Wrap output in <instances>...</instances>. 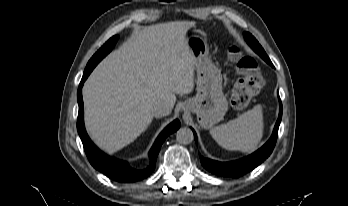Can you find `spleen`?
Segmentation results:
<instances>
[{
	"label": "spleen",
	"instance_id": "spleen-1",
	"mask_svg": "<svg viewBox=\"0 0 348 206\" xmlns=\"http://www.w3.org/2000/svg\"><path fill=\"white\" fill-rule=\"evenodd\" d=\"M214 140L224 149L251 153L263 136V114L260 106L236 119L210 130Z\"/></svg>",
	"mask_w": 348,
	"mask_h": 206
}]
</instances>
